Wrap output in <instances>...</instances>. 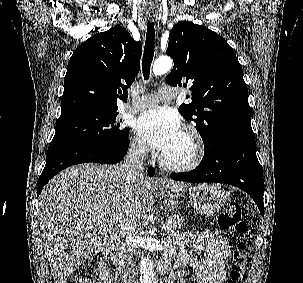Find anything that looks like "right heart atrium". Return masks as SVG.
<instances>
[{"label":"right heart atrium","mask_w":303,"mask_h":283,"mask_svg":"<svg viewBox=\"0 0 303 283\" xmlns=\"http://www.w3.org/2000/svg\"><path fill=\"white\" fill-rule=\"evenodd\" d=\"M130 152L139 159H144L149 153L147 145L139 138L134 137L130 142Z\"/></svg>","instance_id":"d8ad5b80"}]
</instances>
